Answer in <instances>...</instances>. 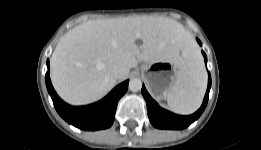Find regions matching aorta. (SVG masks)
Returning <instances> with one entry per match:
<instances>
[{
  "label": "aorta",
  "instance_id": "762f6f07",
  "mask_svg": "<svg viewBox=\"0 0 261 150\" xmlns=\"http://www.w3.org/2000/svg\"><path fill=\"white\" fill-rule=\"evenodd\" d=\"M129 89L132 92H138L142 89V81L139 78H133L129 82Z\"/></svg>",
  "mask_w": 261,
  "mask_h": 150
}]
</instances>
